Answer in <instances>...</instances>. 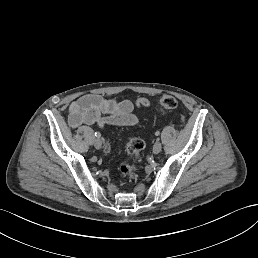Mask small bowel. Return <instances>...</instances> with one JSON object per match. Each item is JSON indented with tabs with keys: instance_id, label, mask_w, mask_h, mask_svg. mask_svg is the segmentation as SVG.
<instances>
[{
	"instance_id": "c3829d8e",
	"label": "small bowel",
	"mask_w": 258,
	"mask_h": 258,
	"mask_svg": "<svg viewBox=\"0 0 258 258\" xmlns=\"http://www.w3.org/2000/svg\"><path fill=\"white\" fill-rule=\"evenodd\" d=\"M149 107H151V103L146 98H139L135 102H131L130 100L108 99L101 95L88 94L72 102L68 121L72 128L83 124L96 125L101 129L106 125L133 126L138 123L134 111Z\"/></svg>"
}]
</instances>
